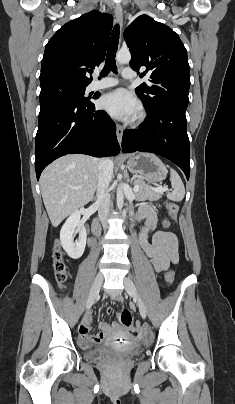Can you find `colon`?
Instances as JSON below:
<instances>
[{
	"label": "colon",
	"mask_w": 235,
	"mask_h": 404,
	"mask_svg": "<svg viewBox=\"0 0 235 404\" xmlns=\"http://www.w3.org/2000/svg\"><path fill=\"white\" fill-rule=\"evenodd\" d=\"M168 209L172 215H175L178 211V206L175 203L169 202L168 203ZM169 225L168 220L164 221V226L167 227ZM54 269H55V274H56V279L60 283V285H63L68 278V273H67V266L64 260L63 252L59 245L55 246L54 249ZM174 280V271L173 270H168L166 273V281L170 285L172 284ZM120 321L121 323L126 326L127 328H130L132 330H137L139 325L134 324L132 321V315L129 310L124 309L121 313L120 316Z\"/></svg>",
	"instance_id": "colon-1"
}]
</instances>
